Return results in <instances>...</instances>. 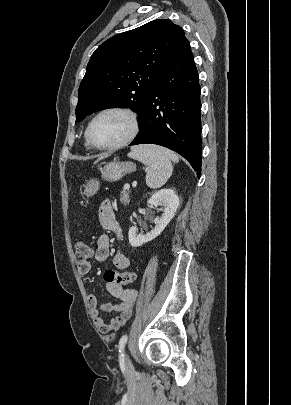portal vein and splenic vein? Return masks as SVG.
I'll use <instances>...</instances> for the list:
<instances>
[{
    "label": "portal vein and splenic vein",
    "mask_w": 291,
    "mask_h": 405,
    "mask_svg": "<svg viewBox=\"0 0 291 405\" xmlns=\"http://www.w3.org/2000/svg\"><path fill=\"white\" fill-rule=\"evenodd\" d=\"M124 189H125V190H129V189H130V185H129V184H125V185H124Z\"/></svg>",
    "instance_id": "portal-vein-and-splenic-vein-1"
}]
</instances>
